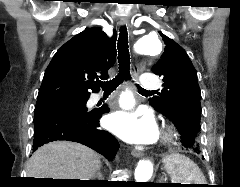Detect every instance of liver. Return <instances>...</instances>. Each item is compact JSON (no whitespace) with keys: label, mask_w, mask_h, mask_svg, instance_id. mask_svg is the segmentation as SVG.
I'll return each mask as SVG.
<instances>
[{"label":"liver","mask_w":240,"mask_h":187,"mask_svg":"<svg viewBox=\"0 0 240 187\" xmlns=\"http://www.w3.org/2000/svg\"><path fill=\"white\" fill-rule=\"evenodd\" d=\"M101 165L90 148L70 141H54L38 148L27 165V178L91 180Z\"/></svg>","instance_id":"obj_1"}]
</instances>
